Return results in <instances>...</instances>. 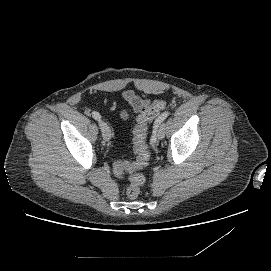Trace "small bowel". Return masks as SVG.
Listing matches in <instances>:
<instances>
[{
	"instance_id": "small-bowel-1",
	"label": "small bowel",
	"mask_w": 271,
	"mask_h": 271,
	"mask_svg": "<svg viewBox=\"0 0 271 271\" xmlns=\"http://www.w3.org/2000/svg\"><path fill=\"white\" fill-rule=\"evenodd\" d=\"M123 98L129 104L131 109L136 113L141 112L148 104L146 100L140 98L131 91L125 92ZM111 109H114V105H111ZM122 117L123 119H127L128 117L127 111H123Z\"/></svg>"
}]
</instances>
